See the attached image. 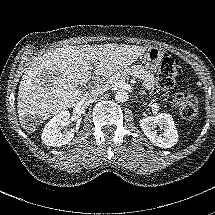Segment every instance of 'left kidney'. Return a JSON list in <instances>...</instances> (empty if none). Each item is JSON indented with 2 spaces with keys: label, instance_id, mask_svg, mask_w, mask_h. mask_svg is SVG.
Masks as SVG:
<instances>
[{
  "label": "left kidney",
  "instance_id": "5707ae66",
  "mask_svg": "<svg viewBox=\"0 0 215 215\" xmlns=\"http://www.w3.org/2000/svg\"><path fill=\"white\" fill-rule=\"evenodd\" d=\"M140 127L155 146L170 148L178 142V132L170 114L159 113L143 118L140 120Z\"/></svg>",
  "mask_w": 215,
  "mask_h": 215
}]
</instances>
